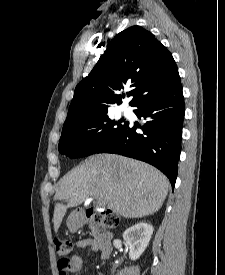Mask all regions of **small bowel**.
Listing matches in <instances>:
<instances>
[{"mask_svg":"<svg viewBox=\"0 0 225 275\" xmlns=\"http://www.w3.org/2000/svg\"><path fill=\"white\" fill-rule=\"evenodd\" d=\"M92 247L94 250H98L97 242L93 239L87 238L83 240H79L75 243V249L77 251L83 250L85 248ZM70 265H71V271L75 275H81L83 263L80 255L78 253H73L69 257Z\"/></svg>","mask_w":225,"mask_h":275,"instance_id":"obj_1","label":"small bowel"}]
</instances>
